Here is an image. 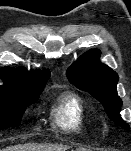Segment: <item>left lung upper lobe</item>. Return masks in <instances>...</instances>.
<instances>
[{"label": "left lung upper lobe", "mask_w": 131, "mask_h": 151, "mask_svg": "<svg viewBox=\"0 0 131 151\" xmlns=\"http://www.w3.org/2000/svg\"><path fill=\"white\" fill-rule=\"evenodd\" d=\"M100 52L91 50L82 55L68 70L71 83L83 91L89 92L100 101L109 118L124 128H129L120 114L122 100L117 95L118 75L115 71L98 60Z\"/></svg>", "instance_id": "left-lung-upper-lobe-1"}]
</instances>
